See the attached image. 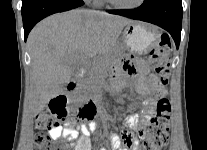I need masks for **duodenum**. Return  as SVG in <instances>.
<instances>
[{
  "instance_id": "duodenum-1",
  "label": "duodenum",
  "mask_w": 207,
  "mask_h": 150,
  "mask_svg": "<svg viewBox=\"0 0 207 150\" xmlns=\"http://www.w3.org/2000/svg\"><path fill=\"white\" fill-rule=\"evenodd\" d=\"M79 86V83L77 80H73L71 82L68 83L67 85V90L70 92V91H74L78 88ZM84 111H93L95 110V105H94V102L90 101L88 102L85 107L83 108Z\"/></svg>"
}]
</instances>
